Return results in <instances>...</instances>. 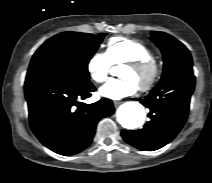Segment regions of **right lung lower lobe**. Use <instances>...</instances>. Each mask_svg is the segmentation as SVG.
<instances>
[{
    "label": "right lung lower lobe",
    "mask_w": 212,
    "mask_h": 183,
    "mask_svg": "<svg viewBox=\"0 0 212 183\" xmlns=\"http://www.w3.org/2000/svg\"><path fill=\"white\" fill-rule=\"evenodd\" d=\"M94 91L86 80L26 79L30 126L42 144L66 156L90 145L97 122L114 113L112 101L107 98L93 104L78 102Z\"/></svg>",
    "instance_id": "obj_1"
}]
</instances>
